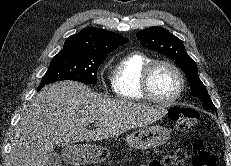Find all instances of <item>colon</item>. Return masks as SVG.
Masks as SVG:
<instances>
[{
    "label": "colon",
    "mask_w": 231,
    "mask_h": 166,
    "mask_svg": "<svg viewBox=\"0 0 231 166\" xmlns=\"http://www.w3.org/2000/svg\"><path fill=\"white\" fill-rule=\"evenodd\" d=\"M168 115L180 131H187L199 118L198 111L188 107L171 108ZM194 148L195 153L192 157V166H215V157L210 148L201 140L195 142ZM185 159V152L177 150L168 154L162 162L150 161L145 166H185Z\"/></svg>",
    "instance_id": "obj_1"
}]
</instances>
